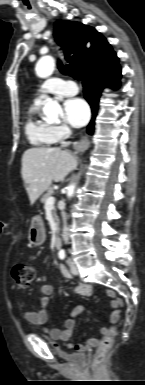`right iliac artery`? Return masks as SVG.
Returning a JSON list of instances; mask_svg holds the SVG:
<instances>
[{
	"instance_id": "obj_1",
	"label": "right iliac artery",
	"mask_w": 145,
	"mask_h": 385,
	"mask_svg": "<svg viewBox=\"0 0 145 385\" xmlns=\"http://www.w3.org/2000/svg\"><path fill=\"white\" fill-rule=\"evenodd\" d=\"M58 255H59V258L62 259V260L65 259V257H66V254H65L64 250H61Z\"/></svg>"
}]
</instances>
